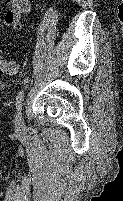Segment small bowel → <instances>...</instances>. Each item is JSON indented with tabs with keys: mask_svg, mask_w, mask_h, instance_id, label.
I'll list each match as a JSON object with an SVG mask.
<instances>
[{
	"mask_svg": "<svg viewBox=\"0 0 123 201\" xmlns=\"http://www.w3.org/2000/svg\"><path fill=\"white\" fill-rule=\"evenodd\" d=\"M9 9L6 11L2 25L7 28L19 30L21 28L20 19L24 14H28L31 11L30 0H8ZM0 54L2 49L0 48Z\"/></svg>",
	"mask_w": 123,
	"mask_h": 201,
	"instance_id": "1",
	"label": "small bowel"
}]
</instances>
